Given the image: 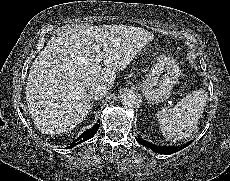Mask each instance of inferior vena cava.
Instances as JSON below:
<instances>
[{"label":"inferior vena cava","instance_id":"obj_1","mask_svg":"<svg viewBox=\"0 0 230 181\" xmlns=\"http://www.w3.org/2000/svg\"><path fill=\"white\" fill-rule=\"evenodd\" d=\"M108 89L104 86L92 87L88 92V97L91 100H99L107 94Z\"/></svg>","mask_w":230,"mask_h":181}]
</instances>
